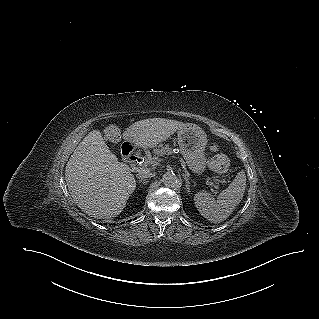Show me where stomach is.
Returning a JSON list of instances; mask_svg holds the SVG:
<instances>
[{"label": "stomach", "mask_w": 319, "mask_h": 319, "mask_svg": "<svg viewBox=\"0 0 319 319\" xmlns=\"http://www.w3.org/2000/svg\"><path fill=\"white\" fill-rule=\"evenodd\" d=\"M206 133L197 125L187 124L178 131V144L186 164L196 175L200 176L205 171L207 160L205 147L207 144Z\"/></svg>", "instance_id": "0dacf381"}]
</instances>
